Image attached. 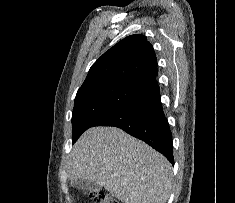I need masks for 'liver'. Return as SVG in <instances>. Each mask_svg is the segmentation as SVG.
I'll list each match as a JSON object with an SVG mask.
<instances>
[{"label": "liver", "instance_id": "liver-1", "mask_svg": "<svg viewBox=\"0 0 235 203\" xmlns=\"http://www.w3.org/2000/svg\"><path fill=\"white\" fill-rule=\"evenodd\" d=\"M71 179L94 182L123 203H166L173 173L159 152L115 127H92L73 147Z\"/></svg>", "mask_w": 235, "mask_h": 203}]
</instances>
